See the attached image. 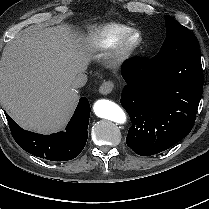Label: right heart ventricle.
<instances>
[{
  "instance_id": "obj_1",
  "label": "right heart ventricle",
  "mask_w": 209,
  "mask_h": 209,
  "mask_svg": "<svg viewBox=\"0 0 209 209\" xmlns=\"http://www.w3.org/2000/svg\"><path fill=\"white\" fill-rule=\"evenodd\" d=\"M132 28L123 23H109L91 28L82 38L83 46L88 50H99L109 47L110 43L120 34Z\"/></svg>"
}]
</instances>
